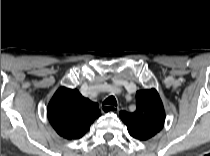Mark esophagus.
Wrapping results in <instances>:
<instances>
[{
  "instance_id": "obj_1",
  "label": "esophagus",
  "mask_w": 210,
  "mask_h": 156,
  "mask_svg": "<svg viewBox=\"0 0 210 156\" xmlns=\"http://www.w3.org/2000/svg\"><path fill=\"white\" fill-rule=\"evenodd\" d=\"M115 108L118 110V107H114L111 105H103L101 107V110L103 113H109V112H113L115 110Z\"/></svg>"
}]
</instances>
